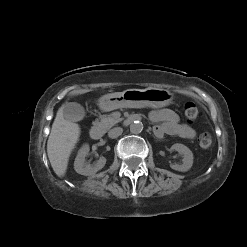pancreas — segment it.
I'll list each match as a JSON object with an SVG mask.
<instances>
[{"label": "pancreas", "instance_id": "pancreas-1", "mask_svg": "<svg viewBox=\"0 0 247 247\" xmlns=\"http://www.w3.org/2000/svg\"><path fill=\"white\" fill-rule=\"evenodd\" d=\"M121 120L122 118H120L117 113H113L111 115H103L100 118V121L96 122V124L102 127L104 130H108Z\"/></svg>", "mask_w": 247, "mask_h": 247}]
</instances>
